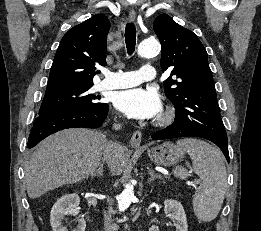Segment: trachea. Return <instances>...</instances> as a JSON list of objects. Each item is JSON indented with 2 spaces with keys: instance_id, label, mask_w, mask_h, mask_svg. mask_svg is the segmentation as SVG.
<instances>
[{
  "instance_id": "trachea-1",
  "label": "trachea",
  "mask_w": 261,
  "mask_h": 231,
  "mask_svg": "<svg viewBox=\"0 0 261 231\" xmlns=\"http://www.w3.org/2000/svg\"><path fill=\"white\" fill-rule=\"evenodd\" d=\"M125 43L127 52L132 55L136 45V28L133 23H128L125 28Z\"/></svg>"
}]
</instances>
